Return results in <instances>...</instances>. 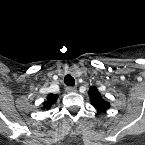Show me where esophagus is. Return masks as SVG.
I'll use <instances>...</instances> for the list:
<instances>
[{
	"mask_svg": "<svg viewBox=\"0 0 145 145\" xmlns=\"http://www.w3.org/2000/svg\"><path fill=\"white\" fill-rule=\"evenodd\" d=\"M65 90L67 93H73L77 91V88L73 86H67Z\"/></svg>",
	"mask_w": 145,
	"mask_h": 145,
	"instance_id": "obj_1",
	"label": "esophagus"
}]
</instances>
